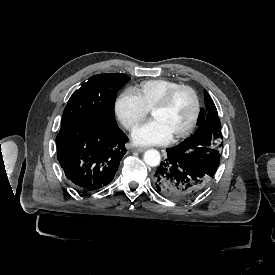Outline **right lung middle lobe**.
<instances>
[{"label":"right lung middle lobe","mask_w":275,"mask_h":275,"mask_svg":"<svg viewBox=\"0 0 275 275\" xmlns=\"http://www.w3.org/2000/svg\"><path fill=\"white\" fill-rule=\"evenodd\" d=\"M129 80L124 74L92 76L70 97L62 122L84 121L105 130L118 127L114 118V102L117 91Z\"/></svg>","instance_id":"dd1d6c3e"}]
</instances>
